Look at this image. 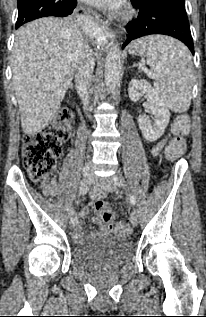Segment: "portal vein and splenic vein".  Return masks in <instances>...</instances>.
I'll list each match as a JSON object with an SVG mask.
<instances>
[{"instance_id":"18ae733b","label":"portal vein and splenic vein","mask_w":206,"mask_h":317,"mask_svg":"<svg viewBox=\"0 0 206 317\" xmlns=\"http://www.w3.org/2000/svg\"><path fill=\"white\" fill-rule=\"evenodd\" d=\"M140 67H141V68L147 73V75H148L150 78H152V79H154V78H156V77L159 76L158 73H152V72L147 71L143 62L140 63Z\"/></svg>"}]
</instances>
